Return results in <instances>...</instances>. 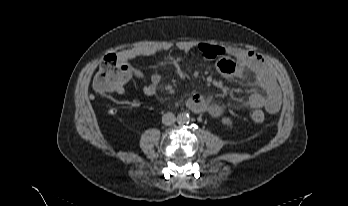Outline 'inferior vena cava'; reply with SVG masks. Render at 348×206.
I'll list each match as a JSON object with an SVG mask.
<instances>
[{
	"label": "inferior vena cava",
	"instance_id": "602c4592",
	"mask_svg": "<svg viewBox=\"0 0 348 206\" xmlns=\"http://www.w3.org/2000/svg\"><path fill=\"white\" fill-rule=\"evenodd\" d=\"M176 121V117L172 112H168L162 116V123L164 125L170 126L173 125Z\"/></svg>",
	"mask_w": 348,
	"mask_h": 206
}]
</instances>
